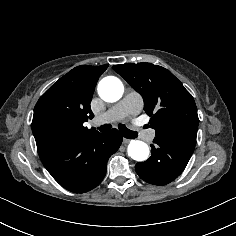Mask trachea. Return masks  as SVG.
Segmentation results:
<instances>
[{
	"label": "trachea",
	"instance_id": "trachea-1",
	"mask_svg": "<svg viewBox=\"0 0 236 236\" xmlns=\"http://www.w3.org/2000/svg\"><path fill=\"white\" fill-rule=\"evenodd\" d=\"M101 132H108L111 129V125L110 124H105L102 125L98 128ZM119 130L121 132V134L128 139H134L137 138L138 133L136 131H131L129 130L125 125L120 124L119 125Z\"/></svg>",
	"mask_w": 236,
	"mask_h": 236
}]
</instances>
